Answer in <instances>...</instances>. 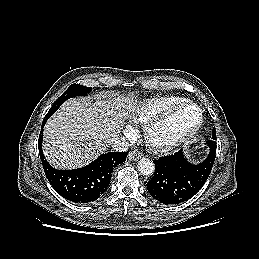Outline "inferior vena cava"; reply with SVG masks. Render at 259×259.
I'll return each mask as SVG.
<instances>
[{
    "label": "inferior vena cava",
    "instance_id": "obj_1",
    "mask_svg": "<svg viewBox=\"0 0 259 259\" xmlns=\"http://www.w3.org/2000/svg\"><path fill=\"white\" fill-rule=\"evenodd\" d=\"M112 146L115 151L125 152L130 148L131 144L125 137H120L113 141Z\"/></svg>",
    "mask_w": 259,
    "mask_h": 259
}]
</instances>
